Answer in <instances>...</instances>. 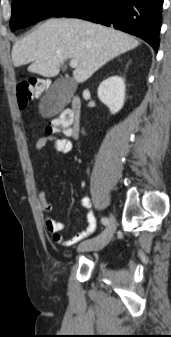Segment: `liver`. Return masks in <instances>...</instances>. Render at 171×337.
<instances>
[{
    "label": "liver",
    "mask_w": 171,
    "mask_h": 337,
    "mask_svg": "<svg viewBox=\"0 0 171 337\" xmlns=\"http://www.w3.org/2000/svg\"><path fill=\"white\" fill-rule=\"evenodd\" d=\"M139 44L131 35L100 24L52 18L13 45L12 61L15 67L31 63L29 72L55 77L65 59L76 60L73 77L83 83L108 61Z\"/></svg>",
    "instance_id": "obj_1"
}]
</instances>
